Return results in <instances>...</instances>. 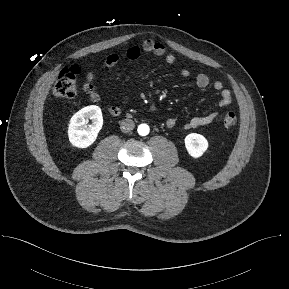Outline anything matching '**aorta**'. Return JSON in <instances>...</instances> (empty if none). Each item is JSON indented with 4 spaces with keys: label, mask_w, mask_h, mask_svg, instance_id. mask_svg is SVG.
<instances>
[{
    "label": "aorta",
    "mask_w": 289,
    "mask_h": 289,
    "mask_svg": "<svg viewBox=\"0 0 289 289\" xmlns=\"http://www.w3.org/2000/svg\"><path fill=\"white\" fill-rule=\"evenodd\" d=\"M138 133L141 136H146L149 134V126L147 124H140L138 126Z\"/></svg>",
    "instance_id": "aorta-1"
}]
</instances>
